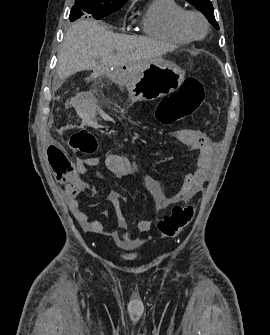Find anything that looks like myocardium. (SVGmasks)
Here are the masks:
<instances>
[{"instance_id": "f54148a6", "label": "myocardium", "mask_w": 270, "mask_h": 335, "mask_svg": "<svg viewBox=\"0 0 270 335\" xmlns=\"http://www.w3.org/2000/svg\"><path fill=\"white\" fill-rule=\"evenodd\" d=\"M190 16H197L203 22L204 27H205V31H204V34L202 36H199V37L194 36L191 33V31L188 29L187 20ZM178 26H179V29L181 30V32L192 40H200V39L205 38L208 35L209 30H210L209 23H208L207 19L204 17V15L202 13H200L198 11H194V10L184 11L178 18Z\"/></svg>"}]
</instances>
